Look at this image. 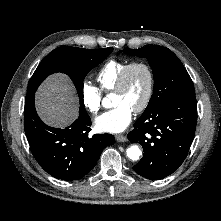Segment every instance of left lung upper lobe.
<instances>
[{
	"mask_svg": "<svg viewBox=\"0 0 221 221\" xmlns=\"http://www.w3.org/2000/svg\"><path fill=\"white\" fill-rule=\"evenodd\" d=\"M123 52L147 58L153 70V95L142 115L154 106L175 98L195 95L193 82L179 58L168 48L147 46L139 49H123Z\"/></svg>",
	"mask_w": 221,
	"mask_h": 221,
	"instance_id": "left-lung-upper-lobe-1",
	"label": "left lung upper lobe"
}]
</instances>
